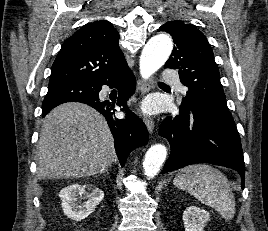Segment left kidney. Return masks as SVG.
<instances>
[{
	"instance_id": "1",
	"label": "left kidney",
	"mask_w": 268,
	"mask_h": 231,
	"mask_svg": "<svg viewBox=\"0 0 268 231\" xmlns=\"http://www.w3.org/2000/svg\"><path fill=\"white\" fill-rule=\"evenodd\" d=\"M210 220L209 212L197 206H189L183 212L185 231H203L205 224Z\"/></svg>"
}]
</instances>
